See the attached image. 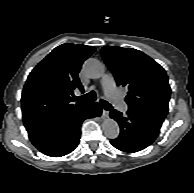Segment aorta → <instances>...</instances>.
<instances>
[{
    "label": "aorta",
    "instance_id": "762f6f07",
    "mask_svg": "<svg viewBox=\"0 0 194 193\" xmlns=\"http://www.w3.org/2000/svg\"><path fill=\"white\" fill-rule=\"evenodd\" d=\"M83 71L87 77L91 79H98L103 76L105 72V67L97 59L89 58L85 61L83 65ZM102 129L105 136L109 139L117 138L120 131L118 123L111 118H106L103 121Z\"/></svg>",
    "mask_w": 194,
    "mask_h": 193
}]
</instances>
